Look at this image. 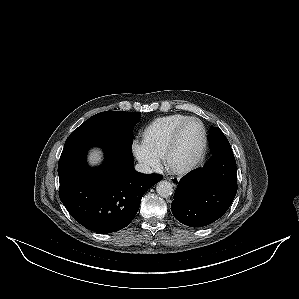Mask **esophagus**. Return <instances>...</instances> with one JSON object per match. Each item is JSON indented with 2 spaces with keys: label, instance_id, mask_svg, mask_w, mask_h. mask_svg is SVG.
<instances>
[{
  "label": "esophagus",
  "instance_id": "esophagus-1",
  "mask_svg": "<svg viewBox=\"0 0 299 299\" xmlns=\"http://www.w3.org/2000/svg\"><path fill=\"white\" fill-rule=\"evenodd\" d=\"M167 180H169L173 186H177L179 184V179L174 177H168Z\"/></svg>",
  "mask_w": 299,
  "mask_h": 299
}]
</instances>
